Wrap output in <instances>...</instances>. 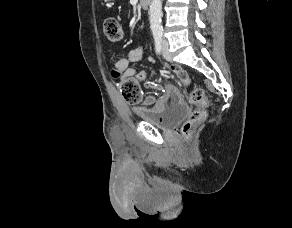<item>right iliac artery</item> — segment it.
I'll list each match as a JSON object with an SVG mask.
<instances>
[{
  "label": "right iliac artery",
  "mask_w": 292,
  "mask_h": 228,
  "mask_svg": "<svg viewBox=\"0 0 292 228\" xmlns=\"http://www.w3.org/2000/svg\"><path fill=\"white\" fill-rule=\"evenodd\" d=\"M154 42H155V50L157 54H161L162 51V36L161 35H155L154 36Z\"/></svg>",
  "instance_id": "1"
}]
</instances>
